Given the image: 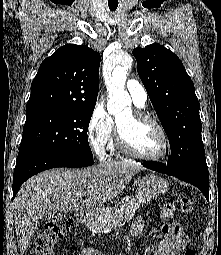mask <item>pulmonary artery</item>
<instances>
[{
    "instance_id": "1",
    "label": "pulmonary artery",
    "mask_w": 221,
    "mask_h": 255,
    "mask_svg": "<svg viewBox=\"0 0 221 255\" xmlns=\"http://www.w3.org/2000/svg\"><path fill=\"white\" fill-rule=\"evenodd\" d=\"M126 89L136 106L143 107L146 104L147 92L140 82L130 79L126 83Z\"/></svg>"
}]
</instances>
